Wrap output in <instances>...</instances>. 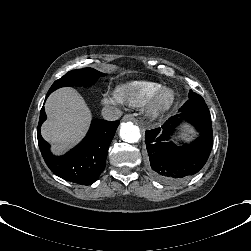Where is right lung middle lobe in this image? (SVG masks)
<instances>
[{"mask_svg":"<svg viewBox=\"0 0 251 251\" xmlns=\"http://www.w3.org/2000/svg\"><path fill=\"white\" fill-rule=\"evenodd\" d=\"M106 74L101 73L93 68H83L69 71L63 77L56 80L49 89L47 96L58 88L67 86H90L99 77H103Z\"/></svg>","mask_w":251,"mask_h":251,"instance_id":"dd1d6c3e","label":"right lung middle lobe"}]
</instances>
